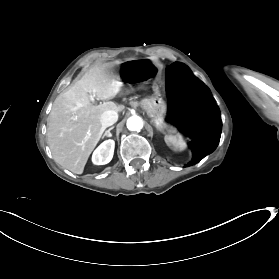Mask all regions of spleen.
I'll list each match as a JSON object with an SVG mask.
<instances>
[{"label":"spleen","mask_w":279,"mask_h":279,"mask_svg":"<svg viewBox=\"0 0 279 279\" xmlns=\"http://www.w3.org/2000/svg\"><path fill=\"white\" fill-rule=\"evenodd\" d=\"M164 140L167 146L171 147L174 150H178V149L183 150L186 147V143L184 142L180 134L178 135L167 134L165 135Z\"/></svg>","instance_id":"1"}]
</instances>
